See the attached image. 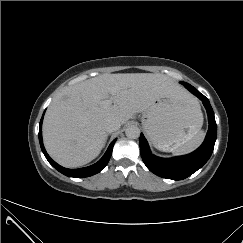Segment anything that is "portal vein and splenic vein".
<instances>
[{"label":"portal vein and splenic vein","mask_w":243,"mask_h":243,"mask_svg":"<svg viewBox=\"0 0 243 243\" xmlns=\"http://www.w3.org/2000/svg\"><path fill=\"white\" fill-rule=\"evenodd\" d=\"M116 92H117V89H113V90H112V96H113ZM112 96H110L109 99L105 100V101L103 102V104L106 105V106L111 105V104L113 103V97H112Z\"/></svg>","instance_id":"18ae733b"}]
</instances>
